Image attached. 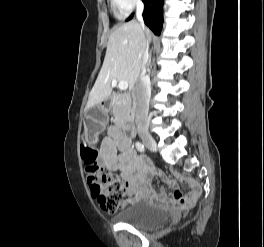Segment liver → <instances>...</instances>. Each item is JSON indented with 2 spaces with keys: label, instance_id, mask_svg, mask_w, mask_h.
<instances>
[{
  "label": "liver",
  "instance_id": "6515ba94",
  "mask_svg": "<svg viewBox=\"0 0 264 247\" xmlns=\"http://www.w3.org/2000/svg\"><path fill=\"white\" fill-rule=\"evenodd\" d=\"M143 40L151 41V32L143 30L136 21L121 25L110 35L102 68L89 94L87 109L110 97L113 80L128 82L130 90L134 87L141 71Z\"/></svg>",
  "mask_w": 264,
  "mask_h": 247
}]
</instances>
